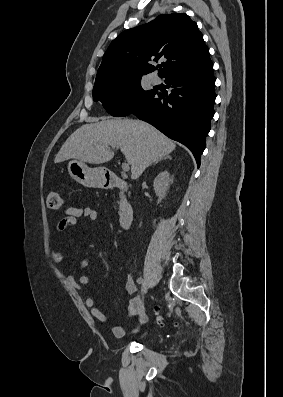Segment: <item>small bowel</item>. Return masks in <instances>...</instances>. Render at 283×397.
Segmentation results:
<instances>
[{"label":"small bowel","instance_id":"c3829d8e","mask_svg":"<svg viewBox=\"0 0 283 397\" xmlns=\"http://www.w3.org/2000/svg\"><path fill=\"white\" fill-rule=\"evenodd\" d=\"M80 218H84L90 221H97L99 219V213L95 209L83 205L67 207L63 211V217L56 223L54 232L56 234H60L65 230L74 227L77 224L78 219ZM51 258L55 263H61L63 261L64 255L59 247H54L51 250ZM89 265L90 262L87 259H83L79 263L80 268H87ZM67 282L74 289L82 290L84 286L90 284L91 279L86 275H82L79 277L69 275L67 277ZM126 290L129 294L134 296L129 304V315L137 316L141 324H144L147 321V316L144 312L141 299L138 296H135L138 287L132 275L130 274L127 277ZM85 305L89 309L90 314L98 321L102 323L109 322L108 317L96 306V301L93 297H87L85 299ZM138 330L139 329H136L135 331ZM112 333L115 337L122 338L125 336L126 330L122 325H114L112 326Z\"/></svg>","mask_w":283,"mask_h":397}]
</instances>
